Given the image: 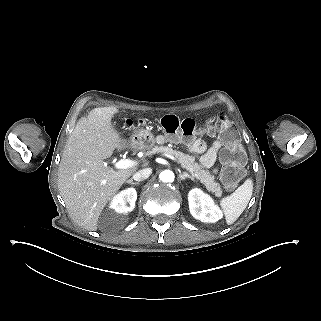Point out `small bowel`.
<instances>
[{
  "mask_svg": "<svg viewBox=\"0 0 321 321\" xmlns=\"http://www.w3.org/2000/svg\"><path fill=\"white\" fill-rule=\"evenodd\" d=\"M221 148V141H215L210 148L207 149V145L202 140L193 141L189 147L188 151L195 155H201L200 162L204 167H211L217 157V153Z\"/></svg>",
  "mask_w": 321,
  "mask_h": 321,
  "instance_id": "obj_1",
  "label": "small bowel"
}]
</instances>
